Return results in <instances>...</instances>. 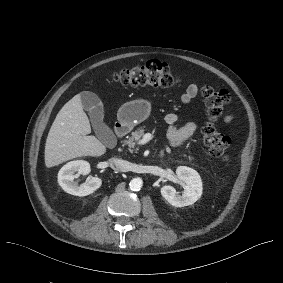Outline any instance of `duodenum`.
<instances>
[{
    "label": "duodenum",
    "mask_w": 283,
    "mask_h": 283,
    "mask_svg": "<svg viewBox=\"0 0 283 283\" xmlns=\"http://www.w3.org/2000/svg\"><path fill=\"white\" fill-rule=\"evenodd\" d=\"M128 131V126L126 123L124 122H118L115 124V127H114V132H115V135L118 137V138H121L123 136H125V134L127 133ZM164 156V153L161 152L159 157L162 158Z\"/></svg>",
    "instance_id": "410a0bca"
}]
</instances>
